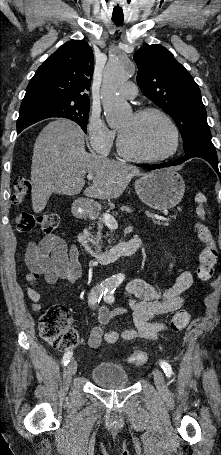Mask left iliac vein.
<instances>
[{
  "instance_id": "4c4485c4",
  "label": "left iliac vein",
  "mask_w": 221,
  "mask_h": 455,
  "mask_svg": "<svg viewBox=\"0 0 221 455\" xmlns=\"http://www.w3.org/2000/svg\"><path fill=\"white\" fill-rule=\"evenodd\" d=\"M153 376H154L155 385H156L157 389L159 390V392L165 393L167 388H166L163 373L159 369L155 368L153 370Z\"/></svg>"
}]
</instances>
